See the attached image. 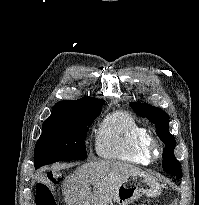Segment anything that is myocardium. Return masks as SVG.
Here are the masks:
<instances>
[{
    "label": "myocardium",
    "instance_id": "myocardium-1",
    "mask_svg": "<svg viewBox=\"0 0 199 205\" xmlns=\"http://www.w3.org/2000/svg\"><path fill=\"white\" fill-rule=\"evenodd\" d=\"M146 152L151 160H156L161 156V146L155 138L150 137L146 142Z\"/></svg>",
    "mask_w": 199,
    "mask_h": 205
}]
</instances>
